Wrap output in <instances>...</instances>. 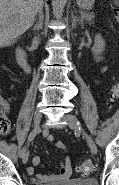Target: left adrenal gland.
Returning a JSON list of instances; mask_svg holds the SVG:
<instances>
[{
    "mask_svg": "<svg viewBox=\"0 0 119 185\" xmlns=\"http://www.w3.org/2000/svg\"><path fill=\"white\" fill-rule=\"evenodd\" d=\"M72 22L74 27L77 25V23H79L83 28V17H77L72 14Z\"/></svg>",
    "mask_w": 119,
    "mask_h": 185,
    "instance_id": "1",
    "label": "left adrenal gland"
}]
</instances>
